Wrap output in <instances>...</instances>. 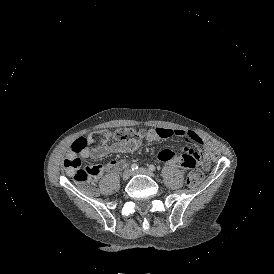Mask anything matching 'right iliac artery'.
Listing matches in <instances>:
<instances>
[{
	"mask_svg": "<svg viewBox=\"0 0 274 274\" xmlns=\"http://www.w3.org/2000/svg\"><path fill=\"white\" fill-rule=\"evenodd\" d=\"M138 169V165L136 164V163H133L132 165H131V170L132 171H135V170H137Z\"/></svg>",
	"mask_w": 274,
	"mask_h": 274,
	"instance_id": "1",
	"label": "right iliac artery"
}]
</instances>
